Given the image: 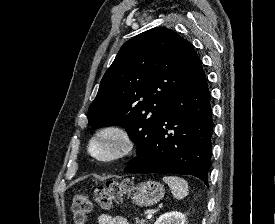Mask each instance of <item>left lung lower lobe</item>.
<instances>
[{"label":"left lung lower lobe","instance_id":"1","mask_svg":"<svg viewBox=\"0 0 275 224\" xmlns=\"http://www.w3.org/2000/svg\"><path fill=\"white\" fill-rule=\"evenodd\" d=\"M213 133L203 68L193 72L170 102L126 172L190 174L208 185Z\"/></svg>","mask_w":275,"mask_h":224}]
</instances>
